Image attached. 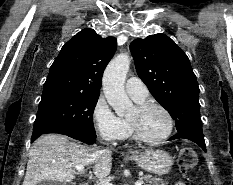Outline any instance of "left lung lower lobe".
I'll use <instances>...</instances> for the list:
<instances>
[{
    "label": "left lung lower lobe",
    "mask_w": 233,
    "mask_h": 185,
    "mask_svg": "<svg viewBox=\"0 0 233 185\" xmlns=\"http://www.w3.org/2000/svg\"><path fill=\"white\" fill-rule=\"evenodd\" d=\"M179 138L189 139L197 143L206 152V145L204 141L202 128L200 125L193 126L183 131H180L176 135H174L170 140L179 139Z\"/></svg>",
    "instance_id": "left-lung-lower-lobe-1"
}]
</instances>
